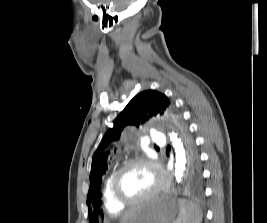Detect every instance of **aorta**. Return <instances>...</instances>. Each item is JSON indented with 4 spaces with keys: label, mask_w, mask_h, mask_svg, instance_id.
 Wrapping results in <instances>:
<instances>
[{
    "label": "aorta",
    "mask_w": 267,
    "mask_h": 223,
    "mask_svg": "<svg viewBox=\"0 0 267 223\" xmlns=\"http://www.w3.org/2000/svg\"><path fill=\"white\" fill-rule=\"evenodd\" d=\"M169 136L175 149V180L176 184H178L183 180L186 169L188 170L187 155L184 145L177 135L170 133ZM173 187L175 186L173 185Z\"/></svg>",
    "instance_id": "762f6f07"
}]
</instances>
